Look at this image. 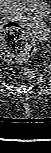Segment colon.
<instances>
[{
    "instance_id": "obj_1",
    "label": "colon",
    "mask_w": 51,
    "mask_h": 153,
    "mask_svg": "<svg viewBox=\"0 0 51 153\" xmlns=\"http://www.w3.org/2000/svg\"><path fill=\"white\" fill-rule=\"evenodd\" d=\"M35 48L33 36L20 24L16 22H7L2 28V57L12 63H24L28 60ZM36 72L31 69H23L20 77L31 79Z\"/></svg>"
}]
</instances>
